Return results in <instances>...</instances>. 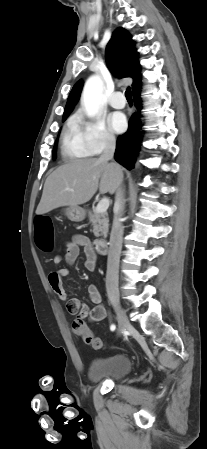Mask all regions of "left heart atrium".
Wrapping results in <instances>:
<instances>
[{
    "instance_id": "39dd6f15",
    "label": "left heart atrium",
    "mask_w": 207,
    "mask_h": 449,
    "mask_svg": "<svg viewBox=\"0 0 207 449\" xmlns=\"http://www.w3.org/2000/svg\"><path fill=\"white\" fill-rule=\"evenodd\" d=\"M109 125L114 132L121 133L126 129L127 121L122 113H113L109 118Z\"/></svg>"
}]
</instances>
